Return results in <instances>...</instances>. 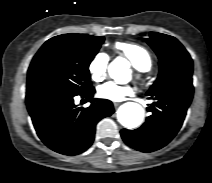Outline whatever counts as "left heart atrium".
I'll return each instance as SVG.
<instances>
[{"mask_svg": "<svg viewBox=\"0 0 212 183\" xmlns=\"http://www.w3.org/2000/svg\"><path fill=\"white\" fill-rule=\"evenodd\" d=\"M97 93L98 96L103 99L121 101L125 97L132 95L134 89L130 86H122L114 82H106L98 87Z\"/></svg>", "mask_w": 212, "mask_h": 183, "instance_id": "left-heart-atrium-1", "label": "left heart atrium"}]
</instances>
